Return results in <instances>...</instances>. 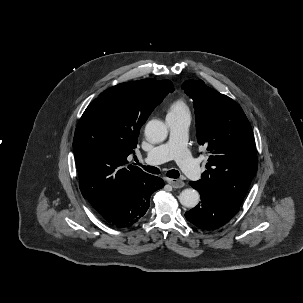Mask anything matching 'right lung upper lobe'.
Here are the masks:
<instances>
[{
	"label": "right lung upper lobe",
	"mask_w": 303,
	"mask_h": 303,
	"mask_svg": "<svg viewBox=\"0 0 303 303\" xmlns=\"http://www.w3.org/2000/svg\"><path fill=\"white\" fill-rule=\"evenodd\" d=\"M169 80L121 83L100 94L84 111L75 131L73 150L82 195L96 210L116 191L147 175L125 167L137 146L141 126L164 97Z\"/></svg>",
	"instance_id": "cb5924a9"
}]
</instances>
